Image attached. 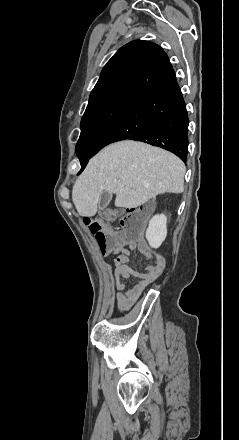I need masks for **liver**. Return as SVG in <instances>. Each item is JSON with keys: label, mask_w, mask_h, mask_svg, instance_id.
<instances>
[{"label": "liver", "mask_w": 239, "mask_h": 440, "mask_svg": "<svg viewBox=\"0 0 239 440\" xmlns=\"http://www.w3.org/2000/svg\"><path fill=\"white\" fill-rule=\"evenodd\" d=\"M186 168L177 156L143 142L110 144L91 158L77 178L72 200L79 216H95L103 190L116 194V208H138L157 194L184 192Z\"/></svg>", "instance_id": "obj_1"}]
</instances>
